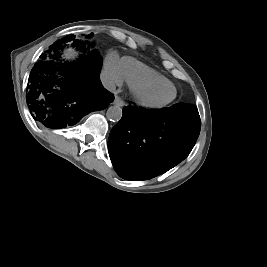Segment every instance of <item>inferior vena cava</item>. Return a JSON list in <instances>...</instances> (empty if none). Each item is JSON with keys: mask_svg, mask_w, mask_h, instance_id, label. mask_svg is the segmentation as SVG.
<instances>
[{"mask_svg": "<svg viewBox=\"0 0 267 267\" xmlns=\"http://www.w3.org/2000/svg\"><path fill=\"white\" fill-rule=\"evenodd\" d=\"M100 80L102 82V85L104 86V88H106L109 91H113L115 90V83L114 81L111 79V77L106 74V73H102L100 75Z\"/></svg>", "mask_w": 267, "mask_h": 267, "instance_id": "602c4592", "label": "inferior vena cava"}]
</instances>
